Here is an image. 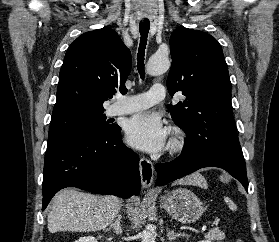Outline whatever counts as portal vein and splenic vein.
Listing matches in <instances>:
<instances>
[{"instance_id":"1","label":"portal vein and splenic vein","mask_w":279,"mask_h":242,"mask_svg":"<svg viewBox=\"0 0 279 242\" xmlns=\"http://www.w3.org/2000/svg\"><path fill=\"white\" fill-rule=\"evenodd\" d=\"M206 229H207V227H203V228H202V232H205Z\"/></svg>"}]
</instances>
